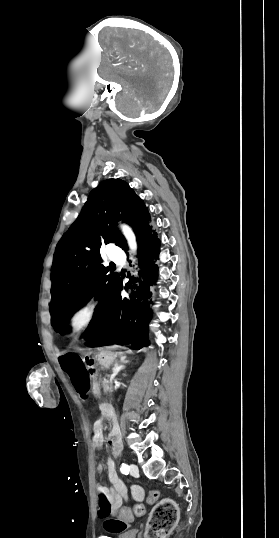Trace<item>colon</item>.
<instances>
[{
	"mask_svg": "<svg viewBox=\"0 0 279 538\" xmlns=\"http://www.w3.org/2000/svg\"><path fill=\"white\" fill-rule=\"evenodd\" d=\"M99 497V513L103 517H107L112 513V506L107 497L106 489L102 486L97 487ZM159 493L150 491L147 495V503L155 504L148 523L146 538H165L176 525L178 520V507L176 503L170 499L157 503ZM145 513V507L142 504H136L133 509L122 508L119 513V518L122 521H130L133 516H141Z\"/></svg>",
	"mask_w": 279,
	"mask_h": 538,
	"instance_id": "colon-1",
	"label": "colon"
}]
</instances>
